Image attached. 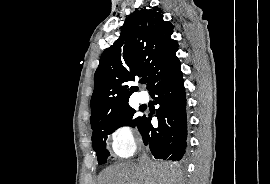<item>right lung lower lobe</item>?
<instances>
[{
  "instance_id": "right-lung-lower-lobe-1",
  "label": "right lung lower lobe",
  "mask_w": 270,
  "mask_h": 184,
  "mask_svg": "<svg viewBox=\"0 0 270 184\" xmlns=\"http://www.w3.org/2000/svg\"><path fill=\"white\" fill-rule=\"evenodd\" d=\"M157 109L158 127L151 118H143L138 130L156 159L180 160L186 148V94L180 62L161 76L149 90Z\"/></svg>"
}]
</instances>
